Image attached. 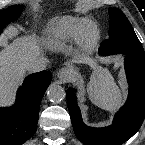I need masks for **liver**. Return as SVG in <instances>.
<instances>
[{
	"mask_svg": "<svg viewBox=\"0 0 145 145\" xmlns=\"http://www.w3.org/2000/svg\"><path fill=\"white\" fill-rule=\"evenodd\" d=\"M39 56L40 49L34 36L17 38L0 51V106L11 104L16 85L24 79L25 64ZM84 61L96 67L93 60L86 58ZM104 72L98 69L96 77Z\"/></svg>",
	"mask_w": 145,
	"mask_h": 145,
	"instance_id": "liver-1",
	"label": "liver"
}]
</instances>
